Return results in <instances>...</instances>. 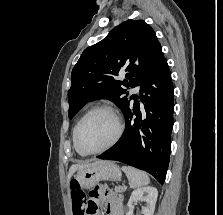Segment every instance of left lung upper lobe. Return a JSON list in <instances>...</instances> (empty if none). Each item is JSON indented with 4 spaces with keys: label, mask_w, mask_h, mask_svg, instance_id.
Segmentation results:
<instances>
[{
    "label": "left lung upper lobe",
    "mask_w": 223,
    "mask_h": 215,
    "mask_svg": "<svg viewBox=\"0 0 223 215\" xmlns=\"http://www.w3.org/2000/svg\"><path fill=\"white\" fill-rule=\"evenodd\" d=\"M161 45L153 29L143 20H127L113 28L100 42L86 48L72 70L68 91L69 113L72 118L86 103L106 98L114 102L123 113L134 95L122 86L135 87L164 60ZM127 72L128 80L114 77L119 71Z\"/></svg>",
    "instance_id": "left-lung-upper-lobe-1"
}]
</instances>
